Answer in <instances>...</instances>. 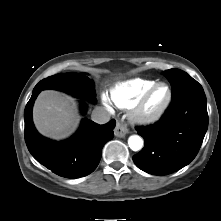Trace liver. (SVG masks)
Here are the masks:
<instances>
[{"label":"liver","instance_id":"6515ba94","mask_svg":"<svg viewBox=\"0 0 221 221\" xmlns=\"http://www.w3.org/2000/svg\"><path fill=\"white\" fill-rule=\"evenodd\" d=\"M80 117L73 99L54 90L42 91L33 107L36 129L45 137L61 140L71 135Z\"/></svg>","mask_w":221,"mask_h":221}]
</instances>
